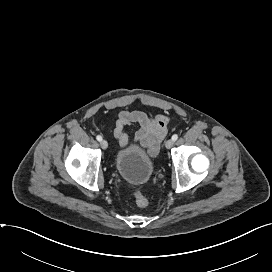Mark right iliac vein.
<instances>
[{"label": "right iliac vein", "mask_w": 272, "mask_h": 272, "mask_svg": "<svg viewBox=\"0 0 272 272\" xmlns=\"http://www.w3.org/2000/svg\"><path fill=\"white\" fill-rule=\"evenodd\" d=\"M100 145H101L102 149H107V147H108V143L106 140H101Z\"/></svg>", "instance_id": "right-iliac-vein-1"}]
</instances>
